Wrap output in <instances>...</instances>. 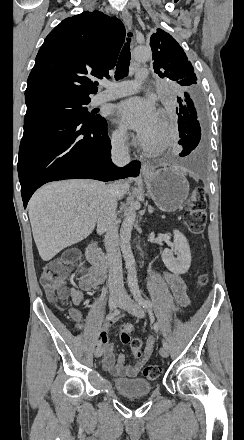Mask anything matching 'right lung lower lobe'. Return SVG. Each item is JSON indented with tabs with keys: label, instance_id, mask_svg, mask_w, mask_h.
I'll return each instance as SVG.
<instances>
[{
	"label": "right lung lower lobe",
	"instance_id": "1",
	"mask_svg": "<svg viewBox=\"0 0 244 440\" xmlns=\"http://www.w3.org/2000/svg\"><path fill=\"white\" fill-rule=\"evenodd\" d=\"M140 162L117 168L111 161L107 122L51 109H28L20 143L18 174L24 208L32 194L51 181L89 178L112 181L139 175Z\"/></svg>",
	"mask_w": 244,
	"mask_h": 440
}]
</instances>
